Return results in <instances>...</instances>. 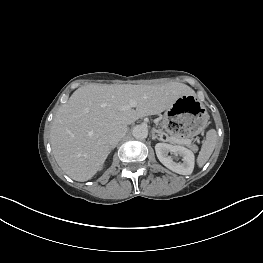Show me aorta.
<instances>
[{
    "instance_id": "obj_1",
    "label": "aorta",
    "mask_w": 263,
    "mask_h": 263,
    "mask_svg": "<svg viewBox=\"0 0 263 263\" xmlns=\"http://www.w3.org/2000/svg\"><path fill=\"white\" fill-rule=\"evenodd\" d=\"M132 135L136 139H144V138H146L147 135H148L147 127H145L144 125H136L133 128V130H132Z\"/></svg>"
}]
</instances>
